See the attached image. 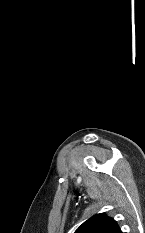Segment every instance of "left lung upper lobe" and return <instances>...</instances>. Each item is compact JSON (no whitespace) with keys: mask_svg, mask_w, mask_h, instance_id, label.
I'll list each match as a JSON object with an SVG mask.
<instances>
[{"mask_svg":"<svg viewBox=\"0 0 145 233\" xmlns=\"http://www.w3.org/2000/svg\"><path fill=\"white\" fill-rule=\"evenodd\" d=\"M75 233H122L117 222L105 213L92 216Z\"/></svg>","mask_w":145,"mask_h":233,"instance_id":"5c2ea615","label":"left lung upper lobe"}]
</instances>
